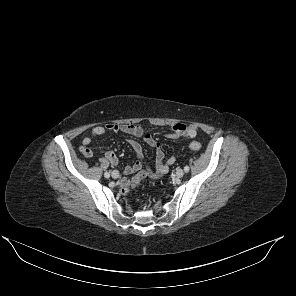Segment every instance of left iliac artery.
<instances>
[{"label": "left iliac artery", "mask_w": 296, "mask_h": 296, "mask_svg": "<svg viewBox=\"0 0 296 296\" xmlns=\"http://www.w3.org/2000/svg\"><path fill=\"white\" fill-rule=\"evenodd\" d=\"M189 169H190L189 166H185V167H184V171H185L186 173L189 172Z\"/></svg>", "instance_id": "obj_1"}]
</instances>
